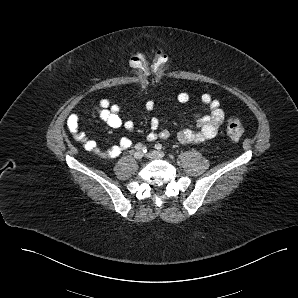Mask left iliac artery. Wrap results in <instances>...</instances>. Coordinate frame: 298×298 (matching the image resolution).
Listing matches in <instances>:
<instances>
[{
    "instance_id": "1",
    "label": "left iliac artery",
    "mask_w": 298,
    "mask_h": 298,
    "mask_svg": "<svg viewBox=\"0 0 298 298\" xmlns=\"http://www.w3.org/2000/svg\"><path fill=\"white\" fill-rule=\"evenodd\" d=\"M155 148H156L157 150H160V149H162V144H160V143H157V144L155 145Z\"/></svg>"
}]
</instances>
